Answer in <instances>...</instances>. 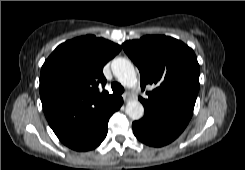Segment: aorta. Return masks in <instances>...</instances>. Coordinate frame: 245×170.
<instances>
[{
    "instance_id": "1",
    "label": "aorta",
    "mask_w": 245,
    "mask_h": 170,
    "mask_svg": "<svg viewBox=\"0 0 245 170\" xmlns=\"http://www.w3.org/2000/svg\"><path fill=\"white\" fill-rule=\"evenodd\" d=\"M111 69L118 81L126 87H132L136 84V72L133 64L125 58H116L112 61ZM126 114L133 120H139L143 117L144 107L138 100L129 101L125 108Z\"/></svg>"
}]
</instances>
